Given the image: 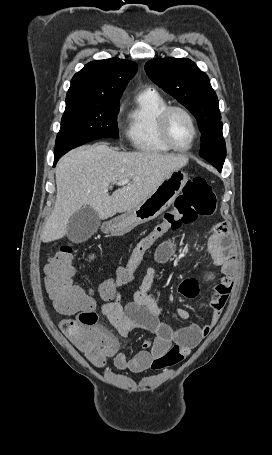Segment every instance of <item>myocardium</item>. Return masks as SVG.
I'll return each instance as SVG.
<instances>
[{
	"label": "myocardium",
	"instance_id": "myocardium-1",
	"mask_svg": "<svg viewBox=\"0 0 272 455\" xmlns=\"http://www.w3.org/2000/svg\"><path fill=\"white\" fill-rule=\"evenodd\" d=\"M175 111H178V112H181L182 114H184L188 118V120L192 126L193 137H192L190 144L186 147H178L177 145H175L169 135L168 121H169L170 115ZM157 122H158L159 135H160L162 141L164 142V144L167 147H169L171 150H174L177 152H187L192 149V147L194 146V144L196 143V141L198 139L199 130H198L196 120H195L194 116L191 114V112L182 106L167 105L160 112Z\"/></svg>",
	"mask_w": 272,
	"mask_h": 455
}]
</instances>
